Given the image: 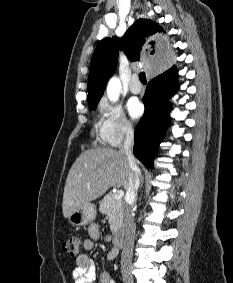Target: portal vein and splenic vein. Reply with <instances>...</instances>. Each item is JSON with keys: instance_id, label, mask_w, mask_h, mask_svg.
I'll return each mask as SVG.
<instances>
[{"instance_id": "obj_1", "label": "portal vein and splenic vein", "mask_w": 233, "mask_h": 283, "mask_svg": "<svg viewBox=\"0 0 233 283\" xmlns=\"http://www.w3.org/2000/svg\"><path fill=\"white\" fill-rule=\"evenodd\" d=\"M123 196H124L123 190H118L114 195L115 199H117V200H121Z\"/></svg>"}]
</instances>
